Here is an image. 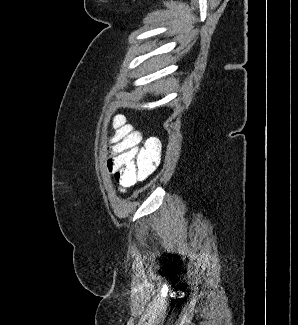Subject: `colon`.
<instances>
[{"label":"colon","mask_w":298,"mask_h":325,"mask_svg":"<svg viewBox=\"0 0 298 325\" xmlns=\"http://www.w3.org/2000/svg\"><path fill=\"white\" fill-rule=\"evenodd\" d=\"M108 148L107 168L122 186H131L147 179L158 165V155L151 145L140 146L141 135L117 115Z\"/></svg>","instance_id":"colon-1"}]
</instances>
